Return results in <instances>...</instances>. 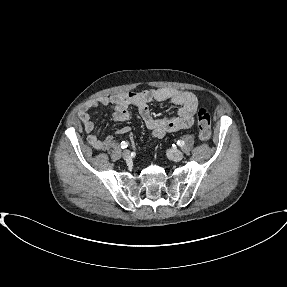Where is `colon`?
Here are the masks:
<instances>
[{
    "label": "colon",
    "instance_id": "1",
    "mask_svg": "<svg viewBox=\"0 0 287 287\" xmlns=\"http://www.w3.org/2000/svg\"><path fill=\"white\" fill-rule=\"evenodd\" d=\"M197 125L199 138L208 141L211 137V116L207 109L200 108L198 110Z\"/></svg>",
    "mask_w": 287,
    "mask_h": 287
}]
</instances>
